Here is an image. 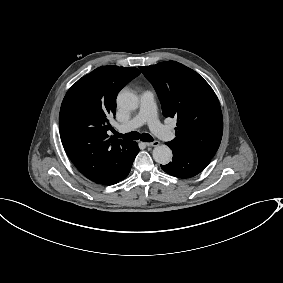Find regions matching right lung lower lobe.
I'll use <instances>...</instances> for the list:
<instances>
[{
  "label": "right lung lower lobe",
  "instance_id": "98d812e1",
  "mask_svg": "<svg viewBox=\"0 0 283 283\" xmlns=\"http://www.w3.org/2000/svg\"><path fill=\"white\" fill-rule=\"evenodd\" d=\"M139 152V148L136 144V148H135V156L133 158V160L131 161V163L128 164V166H126L120 173H118L113 179L105 182V183H102L103 185H112V184H116L118 183L119 181L123 180L124 178H126V176L129 174L130 172V169H131V166H132V163L136 157V155L138 154Z\"/></svg>",
  "mask_w": 283,
  "mask_h": 283
}]
</instances>
